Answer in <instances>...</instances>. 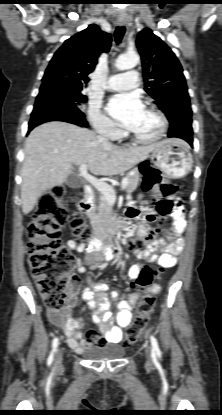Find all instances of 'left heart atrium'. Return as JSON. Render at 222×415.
I'll return each instance as SVG.
<instances>
[{
  "mask_svg": "<svg viewBox=\"0 0 222 415\" xmlns=\"http://www.w3.org/2000/svg\"><path fill=\"white\" fill-rule=\"evenodd\" d=\"M143 109L139 97L133 93L119 94L110 98L106 110L114 119L129 128Z\"/></svg>",
  "mask_w": 222,
  "mask_h": 415,
  "instance_id": "obj_1",
  "label": "left heart atrium"
}]
</instances>
